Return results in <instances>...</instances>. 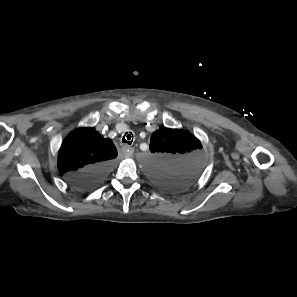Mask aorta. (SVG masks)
<instances>
[{"label":"aorta","mask_w":297,"mask_h":297,"mask_svg":"<svg viewBox=\"0 0 297 297\" xmlns=\"http://www.w3.org/2000/svg\"><path fill=\"white\" fill-rule=\"evenodd\" d=\"M150 168H151V158H149V165H148L149 174L151 176V171H150L151 169Z\"/></svg>","instance_id":"obj_1"}]
</instances>
